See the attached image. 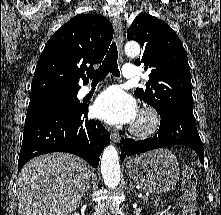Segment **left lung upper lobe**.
<instances>
[{
    "label": "left lung upper lobe",
    "mask_w": 221,
    "mask_h": 215,
    "mask_svg": "<svg viewBox=\"0 0 221 215\" xmlns=\"http://www.w3.org/2000/svg\"><path fill=\"white\" fill-rule=\"evenodd\" d=\"M127 38L139 42L143 49L135 64L151 71L146 88H137L135 96L154 107L160 116L175 111L193 113L188 58L170 26L141 14L127 30Z\"/></svg>",
    "instance_id": "obj_1"
}]
</instances>
